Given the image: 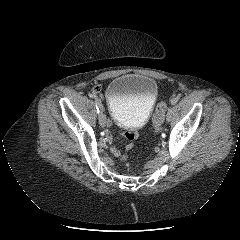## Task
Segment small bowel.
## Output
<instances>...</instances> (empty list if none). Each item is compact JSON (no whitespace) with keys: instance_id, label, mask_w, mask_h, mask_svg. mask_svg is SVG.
Listing matches in <instances>:
<instances>
[{"instance_id":"c3829d8e","label":"small bowel","mask_w":240,"mask_h":240,"mask_svg":"<svg viewBox=\"0 0 240 240\" xmlns=\"http://www.w3.org/2000/svg\"><path fill=\"white\" fill-rule=\"evenodd\" d=\"M98 100L99 101H104L105 100V95L104 94H99L98 95ZM105 127L103 128V131L105 133H108L110 131V129L114 128V120L112 116H107L106 117V121L104 122ZM118 136L123 135L129 142L130 144L126 146L125 150H129L132 147L131 143H135L138 139H139V134L135 131V130H130L129 132L126 131H118L117 132ZM108 140L112 139L111 135L107 136ZM111 152L115 155V156H120L122 154V151L117 148V147H112L111 148Z\"/></svg>"}]
</instances>
